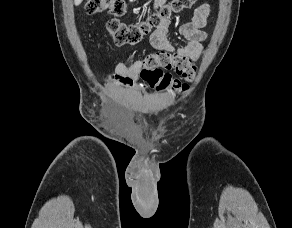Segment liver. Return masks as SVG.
I'll return each mask as SVG.
<instances>
[{
    "instance_id": "1",
    "label": "liver",
    "mask_w": 292,
    "mask_h": 228,
    "mask_svg": "<svg viewBox=\"0 0 292 228\" xmlns=\"http://www.w3.org/2000/svg\"><path fill=\"white\" fill-rule=\"evenodd\" d=\"M82 1L83 0H74V4L77 6V5L81 4Z\"/></svg>"
}]
</instances>
